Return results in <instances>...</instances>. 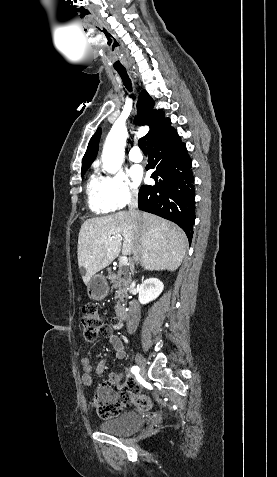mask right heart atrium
<instances>
[{
  "instance_id": "d8ad5b80",
  "label": "right heart atrium",
  "mask_w": 277,
  "mask_h": 477,
  "mask_svg": "<svg viewBox=\"0 0 277 477\" xmlns=\"http://www.w3.org/2000/svg\"><path fill=\"white\" fill-rule=\"evenodd\" d=\"M103 182L106 198L113 210L124 208L138 196L137 187L123 172L107 175Z\"/></svg>"
}]
</instances>
